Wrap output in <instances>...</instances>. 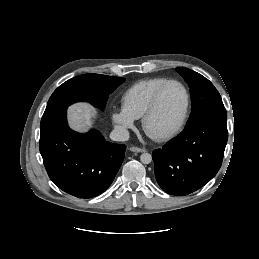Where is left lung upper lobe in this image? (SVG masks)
Listing matches in <instances>:
<instances>
[{
	"label": "left lung upper lobe",
	"mask_w": 259,
	"mask_h": 259,
	"mask_svg": "<svg viewBox=\"0 0 259 259\" xmlns=\"http://www.w3.org/2000/svg\"><path fill=\"white\" fill-rule=\"evenodd\" d=\"M176 70L190 87L192 110L187 126L207 117H227L221 96L208 79L185 67Z\"/></svg>",
	"instance_id": "obj_1"
}]
</instances>
